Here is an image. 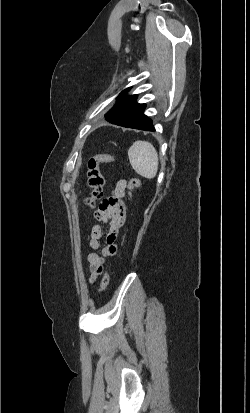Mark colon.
<instances>
[{
    "label": "colon",
    "instance_id": "5ec220e1",
    "mask_svg": "<svg viewBox=\"0 0 250 413\" xmlns=\"http://www.w3.org/2000/svg\"><path fill=\"white\" fill-rule=\"evenodd\" d=\"M115 160V157L109 154H97L92 156L88 161V184L91 188V194L87 198L86 202L89 206H94L95 200L100 198L103 194L104 178L100 171L101 163H110ZM142 182L139 178H132L128 183V194L131 197L132 191L141 187ZM109 272L108 268L103 274L101 279L99 292H103L109 284Z\"/></svg>",
    "mask_w": 250,
    "mask_h": 413
}]
</instances>
